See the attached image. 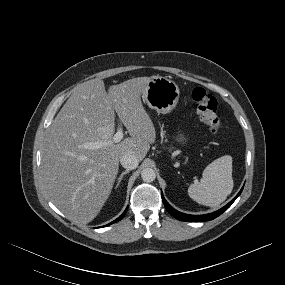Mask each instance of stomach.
I'll return each mask as SVG.
<instances>
[{
	"label": "stomach",
	"instance_id": "stomach-1",
	"mask_svg": "<svg viewBox=\"0 0 285 285\" xmlns=\"http://www.w3.org/2000/svg\"><path fill=\"white\" fill-rule=\"evenodd\" d=\"M180 91L178 85L162 76H153L148 82L142 98L147 105L159 113H169L179 101ZM177 141L181 144L187 143V137L184 134L177 136Z\"/></svg>",
	"mask_w": 285,
	"mask_h": 285
}]
</instances>
